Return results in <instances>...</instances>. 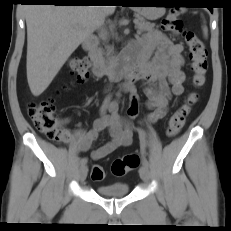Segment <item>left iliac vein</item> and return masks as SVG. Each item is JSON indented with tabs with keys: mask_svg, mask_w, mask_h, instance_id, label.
Wrapping results in <instances>:
<instances>
[{
	"mask_svg": "<svg viewBox=\"0 0 231 231\" xmlns=\"http://www.w3.org/2000/svg\"><path fill=\"white\" fill-rule=\"evenodd\" d=\"M139 173H140V177L142 178V180L147 182L150 179L149 167L142 165L140 167Z\"/></svg>",
	"mask_w": 231,
	"mask_h": 231,
	"instance_id": "obj_1",
	"label": "left iliac vein"
}]
</instances>
